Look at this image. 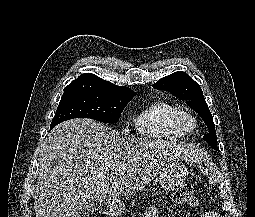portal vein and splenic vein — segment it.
<instances>
[{
    "instance_id": "1",
    "label": "portal vein and splenic vein",
    "mask_w": 255,
    "mask_h": 217,
    "mask_svg": "<svg viewBox=\"0 0 255 217\" xmlns=\"http://www.w3.org/2000/svg\"><path fill=\"white\" fill-rule=\"evenodd\" d=\"M121 169H123V167H119L118 169H116L117 171H120Z\"/></svg>"
}]
</instances>
